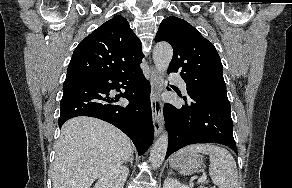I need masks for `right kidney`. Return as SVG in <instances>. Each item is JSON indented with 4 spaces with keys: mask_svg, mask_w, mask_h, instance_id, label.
<instances>
[{
    "mask_svg": "<svg viewBox=\"0 0 292 188\" xmlns=\"http://www.w3.org/2000/svg\"><path fill=\"white\" fill-rule=\"evenodd\" d=\"M129 169L125 166L115 168L102 175L94 188H124Z\"/></svg>",
    "mask_w": 292,
    "mask_h": 188,
    "instance_id": "right-kidney-1",
    "label": "right kidney"
}]
</instances>
